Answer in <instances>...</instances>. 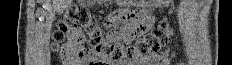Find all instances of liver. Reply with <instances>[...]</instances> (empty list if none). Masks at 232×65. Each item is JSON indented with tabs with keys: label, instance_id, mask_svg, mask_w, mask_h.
<instances>
[{
	"label": "liver",
	"instance_id": "liver-1",
	"mask_svg": "<svg viewBox=\"0 0 232 65\" xmlns=\"http://www.w3.org/2000/svg\"><path fill=\"white\" fill-rule=\"evenodd\" d=\"M53 7L57 13H62L71 0H52Z\"/></svg>",
	"mask_w": 232,
	"mask_h": 65
}]
</instances>
